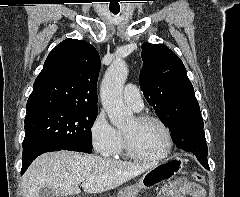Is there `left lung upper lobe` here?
<instances>
[{
	"instance_id": "obj_1",
	"label": "left lung upper lobe",
	"mask_w": 240,
	"mask_h": 197,
	"mask_svg": "<svg viewBox=\"0 0 240 197\" xmlns=\"http://www.w3.org/2000/svg\"><path fill=\"white\" fill-rule=\"evenodd\" d=\"M140 85L159 119L174 136L193 122L203 124L193 86L181 59L163 44H142ZM196 156L207 157L206 141L186 146Z\"/></svg>"
}]
</instances>
